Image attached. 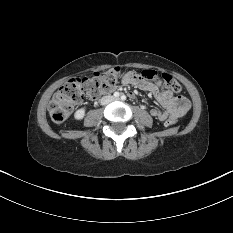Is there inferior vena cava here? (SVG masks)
<instances>
[{"instance_id": "1", "label": "inferior vena cava", "mask_w": 233, "mask_h": 233, "mask_svg": "<svg viewBox=\"0 0 233 233\" xmlns=\"http://www.w3.org/2000/svg\"><path fill=\"white\" fill-rule=\"evenodd\" d=\"M112 100H113V97L110 96V95H108V96H103V97L101 98V104H102V105H106V104H108L109 102H111Z\"/></svg>"}]
</instances>
